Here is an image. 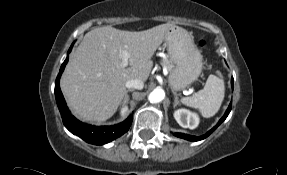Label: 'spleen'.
Returning <instances> with one entry per match:
<instances>
[{
	"label": "spleen",
	"instance_id": "3e777b00",
	"mask_svg": "<svg viewBox=\"0 0 287 175\" xmlns=\"http://www.w3.org/2000/svg\"><path fill=\"white\" fill-rule=\"evenodd\" d=\"M224 80L216 75H209L204 88L195 95L185 97L182 103L198 109L203 117L214 116L221 107L224 99Z\"/></svg>",
	"mask_w": 287,
	"mask_h": 175
}]
</instances>
